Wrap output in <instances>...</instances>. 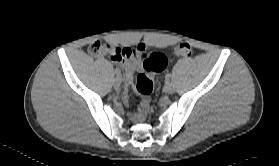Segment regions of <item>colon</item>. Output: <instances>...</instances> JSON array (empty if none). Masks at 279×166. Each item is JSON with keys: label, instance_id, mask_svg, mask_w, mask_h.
Returning <instances> with one entry per match:
<instances>
[{"label": "colon", "instance_id": "5ec220e1", "mask_svg": "<svg viewBox=\"0 0 279 166\" xmlns=\"http://www.w3.org/2000/svg\"><path fill=\"white\" fill-rule=\"evenodd\" d=\"M110 49L117 56L130 57L134 50L132 48L109 47L100 42H94L89 46V53L93 56L102 54ZM173 53L178 57H189L192 54V46L189 43L181 42L174 46ZM143 70L136 81V91L142 97L139 105V116H144L148 111V98L154 89L153 74L164 69L166 64L165 56L161 53L144 52L141 56Z\"/></svg>", "mask_w": 279, "mask_h": 166}]
</instances>
